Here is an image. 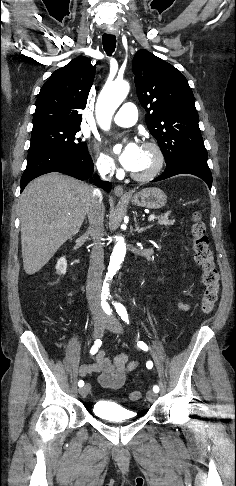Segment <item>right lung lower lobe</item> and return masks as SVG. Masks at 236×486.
<instances>
[{"label":"right lung lower lobe","mask_w":236,"mask_h":486,"mask_svg":"<svg viewBox=\"0 0 236 486\" xmlns=\"http://www.w3.org/2000/svg\"><path fill=\"white\" fill-rule=\"evenodd\" d=\"M93 171V161L88 152L55 149L29 150L27 166L20 182L21 192L31 180L46 173L60 172L80 180H87ZM95 178L91 179L95 185L102 187L107 192L110 191L109 182H100L97 175Z\"/></svg>","instance_id":"98d812e1"}]
</instances>
